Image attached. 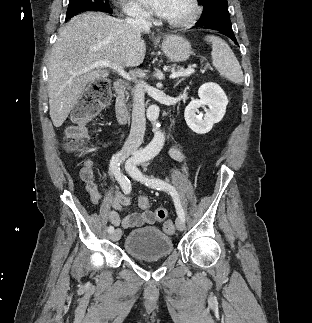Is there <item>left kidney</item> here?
Masks as SVG:
<instances>
[{
	"mask_svg": "<svg viewBox=\"0 0 312 323\" xmlns=\"http://www.w3.org/2000/svg\"><path fill=\"white\" fill-rule=\"evenodd\" d=\"M200 100H192L185 108L184 118L190 130L195 134H207L212 130L214 124L221 122L228 104L227 96L218 84L208 82L203 84L198 90ZM208 106L209 110H206ZM199 108H204L205 114H199ZM203 118V120H202Z\"/></svg>",
	"mask_w": 312,
	"mask_h": 323,
	"instance_id": "left-kidney-1",
	"label": "left kidney"
}]
</instances>
